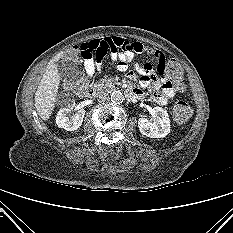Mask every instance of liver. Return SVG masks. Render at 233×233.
Masks as SVG:
<instances>
[{
  "label": "liver",
  "instance_id": "liver-1",
  "mask_svg": "<svg viewBox=\"0 0 233 233\" xmlns=\"http://www.w3.org/2000/svg\"><path fill=\"white\" fill-rule=\"evenodd\" d=\"M65 52L58 53L52 59L42 76L37 91L35 92V108L43 120H48L54 109L56 94L60 84V74L57 69V62L64 57Z\"/></svg>",
  "mask_w": 233,
  "mask_h": 233
}]
</instances>
